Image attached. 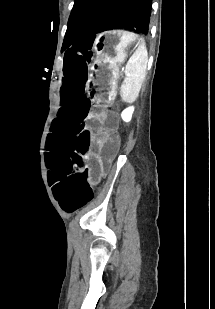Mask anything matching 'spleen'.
I'll list each match as a JSON object with an SVG mask.
<instances>
[{"instance_id":"1","label":"spleen","mask_w":215,"mask_h":309,"mask_svg":"<svg viewBox=\"0 0 215 309\" xmlns=\"http://www.w3.org/2000/svg\"><path fill=\"white\" fill-rule=\"evenodd\" d=\"M148 52L145 42H140L138 48L130 56L125 68V80L121 86V98L125 102L136 100L141 84L145 78Z\"/></svg>"}]
</instances>
